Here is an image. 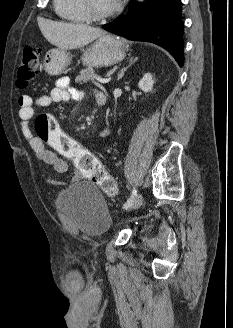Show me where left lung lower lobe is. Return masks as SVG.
Listing matches in <instances>:
<instances>
[{
    "instance_id": "0a47b994",
    "label": "left lung lower lobe",
    "mask_w": 233,
    "mask_h": 328,
    "mask_svg": "<svg viewBox=\"0 0 233 328\" xmlns=\"http://www.w3.org/2000/svg\"><path fill=\"white\" fill-rule=\"evenodd\" d=\"M103 28L129 40L147 41L166 49L183 66L181 0H135L127 14Z\"/></svg>"
}]
</instances>
